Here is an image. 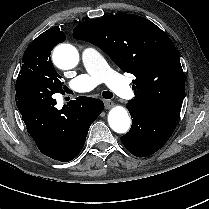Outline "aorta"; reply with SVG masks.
Masks as SVG:
<instances>
[{
	"instance_id": "762f6f07",
	"label": "aorta",
	"mask_w": 209,
	"mask_h": 209,
	"mask_svg": "<svg viewBox=\"0 0 209 209\" xmlns=\"http://www.w3.org/2000/svg\"><path fill=\"white\" fill-rule=\"evenodd\" d=\"M53 60L61 69L74 68L79 62L77 49L70 44H60L53 52ZM110 128L117 133H126L131 125L130 116L122 106L113 107L108 114Z\"/></svg>"
}]
</instances>
